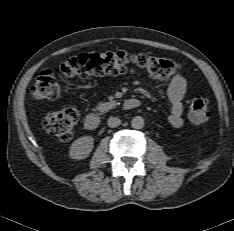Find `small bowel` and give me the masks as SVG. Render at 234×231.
<instances>
[{
  "instance_id": "1",
  "label": "small bowel",
  "mask_w": 234,
  "mask_h": 231,
  "mask_svg": "<svg viewBox=\"0 0 234 231\" xmlns=\"http://www.w3.org/2000/svg\"><path fill=\"white\" fill-rule=\"evenodd\" d=\"M186 95V81L184 77L176 73L168 86L167 96L171 103V114L169 123L174 128H180L183 125L184 100Z\"/></svg>"
}]
</instances>
